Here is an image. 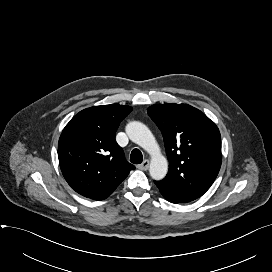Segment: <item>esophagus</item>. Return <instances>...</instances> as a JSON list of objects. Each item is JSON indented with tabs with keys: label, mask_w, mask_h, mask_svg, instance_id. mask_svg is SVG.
Returning a JSON list of instances; mask_svg holds the SVG:
<instances>
[{
	"label": "esophagus",
	"mask_w": 272,
	"mask_h": 272,
	"mask_svg": "<svg viewBox=\"0 0 272 272\" xmlns=\"http://www.w3.org/2000/svg\"><path fill=\"white\" fill-rule=\"evenodd\" d=\"M138 168L141 170H147L149 168V160H144L142 164L138 165Z\"/></svg>",
	"instance_id": "1"
}]
</instances>
